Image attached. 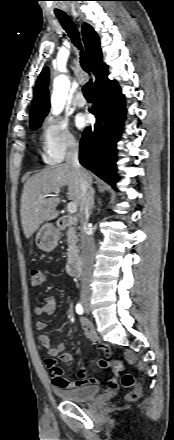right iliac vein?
I'll return each mask as SVG.
<instances>
[{
    "label": "right iliac vein",
    "instance_id": "63e3f726",
    "mask_svg": "<svg viewBox=\"0 0 174 440\" xmlns=\"http://www.w3.org/2000/svg\"><path fill=\"white\" fill-rule=\"evenodd\" d=\"M85 310L90 311V307L88 305H85Z\"/></svg>",
    "mask_w": 174,
    "mask_h": 440
}]
</instances>
